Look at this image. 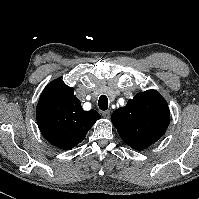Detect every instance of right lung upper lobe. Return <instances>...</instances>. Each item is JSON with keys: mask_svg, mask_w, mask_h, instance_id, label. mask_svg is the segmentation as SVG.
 Wrapping results in <instances>:
<instances>
[{"mask_svg": "<svg viewBox=\"0 0 199 199\" xmlns=\"http://www.w3.org/2000/svg\"><path fill=\"white\" fill-rule=\"evenodd\" d=\"M100 118L95 110L84 111L74 95V89L60 78L45 87L36 109L41 134L52 145L63 150L72 149L82 142Z\"/></svg>", "mask_w": 199, "mask_h": 199, "instance_id": "1", "label": "right lung upper lobe"}]
</instances>
